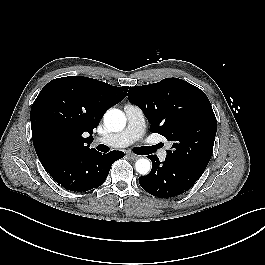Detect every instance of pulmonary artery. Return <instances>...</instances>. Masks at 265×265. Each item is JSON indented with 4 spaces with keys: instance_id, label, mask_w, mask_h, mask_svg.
<instances>
[{
    "instance_id": "pulmonary-artery-1",
    "label": "pulmonary artery",
    "mask_w": 265,
    "mask_h": 265,
    "mask_svg": "<svg viewBox=\"0 0 265 265\" xmlns=\"http://www.w3.org/2000/svg\"><path fill=\"white\" fill-rule=\"evenodd\" d=\"M124 110L127 118L126 128L106 138H99L98 141L112 147H127L136 142L143 135L145 131V118L141 108L132 104H127ZM166 155L167 153L164 149L160 150L158 153L161 160H164Z\"/></svg>"
}]
</instances>
